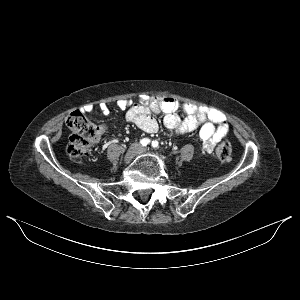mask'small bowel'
Wrapping results in <instances>:
<instances>
[{
    "mask_svg": "<svg viewBox=\"0 0 300 300\" xmlns=\"http://www.w3.org/2000/svg\"><path fill=\"white\" fill-rule=\"evenodd\" d=\"M116 105L126 111L127 121L147 133L158 131L159 125L155 116L160 113L163 114L164 127L174 134L182 135L198 130L202 148L207 153L212 152L229 131V125L219 111L182 102L171 96H148L137 103L119 100ZM93 110L94 107L90 104L84 107L85 112ZM98 111L102 115H108L110 106L107 103L99 104ZM106 130L107 125L100 124L96 140H99Z\"/></svg>",
    "mask_w": 300,
    "mask_h": 300,
    "instance_id": "obj_1",
    "label": "small bowel"
}]
</instances>
